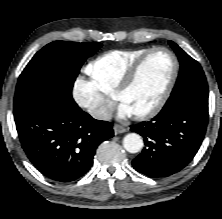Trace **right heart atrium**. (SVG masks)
<instances>
[{"mask_svg": "<svg viewBox=\"0 0 222 219\" xmlns=\"http://www.w3.org/2000/svg\"><path fill=\"white\" fill-rule=\"evenodd\" d=\"M72 99L97 121L107 120L114 105L113 100L104 97L91 80L82 76L73 81Z\"/></svg>", "mask_w": 222, "mask_h": 219, "instance_id": "obj_1", "label": "right heart atrium"}]
</instances>
